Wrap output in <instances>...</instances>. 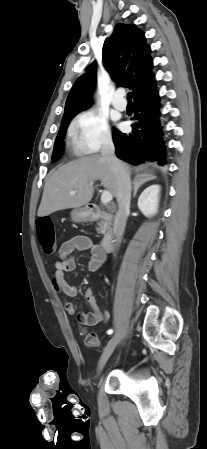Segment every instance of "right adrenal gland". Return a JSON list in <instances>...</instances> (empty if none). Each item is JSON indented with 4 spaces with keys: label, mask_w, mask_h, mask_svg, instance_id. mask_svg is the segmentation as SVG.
I'll use <instances>...</instances> for the list:
<instances>
[{
    "label": "right adrenal gland",
    "mask_w": 207,
    "mask_h": 449,
    "mask_svg": "<svg viewBox=\"0 0 207 449\" xmlns=\"http://www.w3.org/2000/svg\"><path fill=\"white\" fill-rule=\"evenodd\" d=\"M154 179H156V176L143 177L142 175H137L133 180V197L136 196L138 189L143 184H145L146 182H148L150 180H154Z\"/></svg>",
    "instance_id": "2a0ac1e0"
}]
</instances>
